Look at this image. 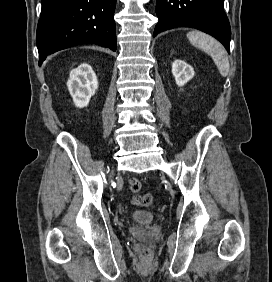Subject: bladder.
I'll return each instance as SVG.
<instances>
[{"instance_id":"bladder-1","label":"bladder","mask_w":272,"mask_h":282,"mask_svg":"<svg viewBox=\"0 0 272 282\" xmlns=\"http://www.w3.org/2000/svg\"><path fill=\"white\" fill-rule=\"evenodd\" d=\"M132 220L141 223H151L154 220V215L147 211H135L131 214Z\"/></svg>"}]
</instances>
